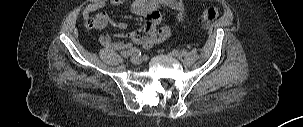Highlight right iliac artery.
I'll return each mask as SVG.
<instances>
[{"label": "right iliac artery", "mask_w": 303, "mask_h": 127, "mask_svg": "<svg viewBox=\"0 0 303 127\" xmlns=\"http://www.w3.org/2000/svg\"><path fill=\"white\" fill-rule=\"evenodd\" d=\"M139 52H140L139 49H137V48H131V49L125 51V55H127V56L136 55Z\"/></svg>", "instance_id": "82829eb1"}]
</instances>
